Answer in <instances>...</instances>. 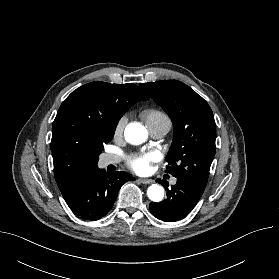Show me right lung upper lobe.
I'll list each match as a JSON object with an SVG mask.
<instances>
[{
	"instance_id": "cb5924a9",
	"label": "right lung upper lobe",
	"mask_w": 279,
	"mask_h": 279,
	"mask_svg": "<svg viewBox=\"0 0 279 279\" xmlns=\"http://www.w3.org/2000/svg\"><path fill=\"white\" fill-rule=\"evenodd\" d=\"M149 96L135 84L91 82L74 90L61 104L52 127L54 175L64 199L83 174L97 165L95 146L114 134L122 115Z\"/></svg>"
}]
</instances>
